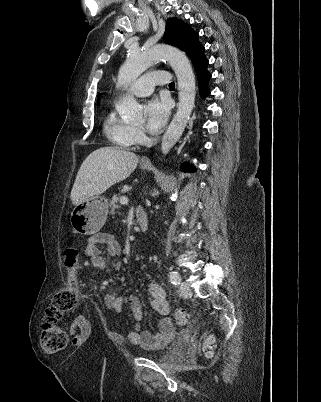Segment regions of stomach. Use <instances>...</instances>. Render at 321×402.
<instances>
[{
  "label": "stomach",
  "mask_w": 321,
  "mask_h": 402,
  "mask_svg": "<svg viewBox=\"0 0 321 402\" xmlns=\"http://www.w3.org/2000/svg\"><path fill=\"white\" fill-rule=\"evenodd\" d=\"M143 170L148 166L141 165ZM108 215V200L103 196H93L75 206L70 222L75 233L93 235L103 227Z\"/></svg>",
  "instance_id": "0dacf381"
}]
</instances>
